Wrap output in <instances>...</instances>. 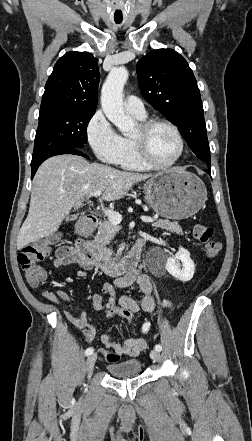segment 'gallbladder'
I'll return each instance as SVG.
<instances>
[{
    "mask_svg": "<svg viewBox=\"0 0 252 441\" xmlns=\"http://www.w3.org/2000/svg\"><path fill=\"white\" fill-rule=\"evenodd\" d=\"M72 220V217H66V221Z\"/></svg>",
    "mask_w": 252,
    "mask_h": 441,
    "instance_id": "bac80fb5",
    "label": "gallbladder"
}]
</instances>
